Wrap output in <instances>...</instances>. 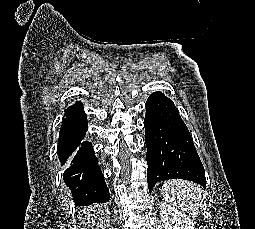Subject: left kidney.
I'll use <instances>...</instances> for the list:
<instances>
[{
  "label": "left kidney",
  "instance_id": "5707ae66",
  "mask_svg": "<svg viewBox=\"0 0 255 229\" xmlns=\"http://www.w3.org/2000/svg\"><path fill=\"white\" fill-rule=\"evenodd\" d=\"M160 216L165 229H194L188 216L167 203L160 205Z\"/></svg>",
  "mask_w": 255,
  "mask_h": 229
}]
</instances>
